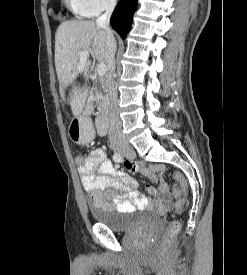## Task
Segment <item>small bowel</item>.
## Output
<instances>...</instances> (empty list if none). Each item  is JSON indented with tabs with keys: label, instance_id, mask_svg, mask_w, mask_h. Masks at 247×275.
I'll return each instance as SVG.
<instances>
[{
	"label": "small bowel",
	"instance_id": "1",
	"mask_svg": "<svg viewBox=\"0 0 247 275\" xmlns=\"http://www.w3.org/2000/svg\"><path fill=\"white\" fill-rule=\"evenodd\" d=\"M131 171L141 173L152 178L158 187L149 185L148 191L159 197L158 205L167 210L172 206V199L167 183L163 179V166H157L154 175L143 163H137ZM81 183L89 193L94 206L108 211L129 212L135 207H147L149 201L142 196L133 178L113 164L102 148L93 149L85 161L78 167ZM124 192L123 196L118 195Z\"/></svg>",
	"mask_w": 247,
	"mask_h": 275
}]
</instances>
